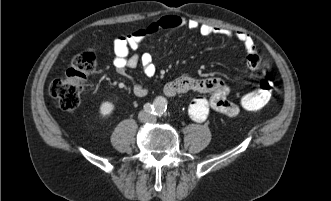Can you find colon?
<instances>
[{"label":"colon","instance_id":"colon-1","mask_svg":"<svg viewBox=\"0 0 331 201\" xmlns=\"http://www.w3.org/2000/svg\"><path fill=\"white\" fill-rule=\"evenodd\" d=\"M95 68V54L90 51L82 52L74 57L66 73L50 84L49 93L57 99L63 110H74L80 105L87 79ZM273 85L274 71L271 66L265 64L261 68L257 89L245 94L239 100L241 108L248 111L263 108L272 96Z\"/></svg>","mask_w":331,"mask_h":201}]
</instances>
